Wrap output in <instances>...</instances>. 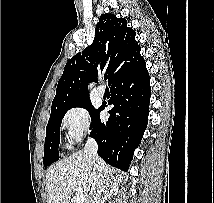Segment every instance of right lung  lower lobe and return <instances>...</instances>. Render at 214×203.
Instances as JSON below:
<instances>
[{
	"label": "right lung lower lobe",
	"instance_id": "right-lung-lower-lobe-1",
	"mask_svg": "<svg viewBox=\"0 0 214 203\" xmlns=\"http://www.w3.org/2000/svg\"><path fill=\"white\" fill-rule=\"evenodd\" d=\"M114 107L106 123L100 119L102 105L91 128L90 136L98 144V154L108 164L128 171L134 150L139 146L148 122L150 78L143 62L120 76L110 85Z\"/></svg>",
	"mask_w": 214,
	"mask_h": 203
}]
</instances>
